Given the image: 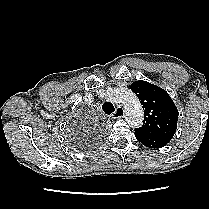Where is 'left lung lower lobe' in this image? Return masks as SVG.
<instances>
[{"label": "left lung lower lobe", "mask_w": 209, "mask_h": 209, "mask_svg": "<svg viewBox=\"0 0 209 209\" xmlns=\"http://www.w3.org/2000/svg\"><path fill=\"white\" fill-rule=\"evenodd\" d=\"M135 137L140 141L143 145L150 147V148H162L167 143H169V140L161 138V137H155V136H149L146 134H142L135 131Z\"/></svg>", "instance_id": "left-lung-lower-lobe-1"}]
</instances>
